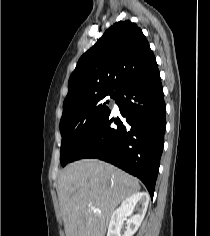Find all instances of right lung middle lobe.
<instances>
[{"label": "right lung middle lobe", "mask_w": 210, "mask_h": 236, "mask_svg": "<svg viewBox=\"0 0 210 236\" xmlns=\"http://www.w3.org/2000/svg\"><path fill=\"white\" fill-rule=\"evenodd\" d=\"M115 99V93L94 96L79 103L73 109L63 113L60 121L62 144L60 162L62 166L69 163L89 134L110 112L106 96Z\"/></svg>", "instance_id": "right-lung-middle-lobe-1"}]
</instances>
